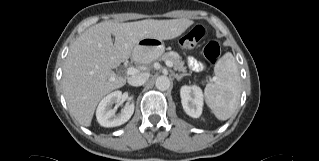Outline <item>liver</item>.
<instances>
[{"mask_svg": "<svg viewBox=\"0 0 319 161\" xmlns=\"http://www.w3.org/2000/svg\"><path fill=\"white\" fill-rule=\"evenodd\" d=\"M193 23L184 18L147 19L128 23L105 21L88 28L70 46L63 68V94L72 116L85 127L91 125L99 101L126 84V79L112 69L130 58L141 39H173Z\"/></svg>", "mask_w": 319, "mask_h": 161, "instance_id": "obj_1", "label": "liver"}]
</instances>
